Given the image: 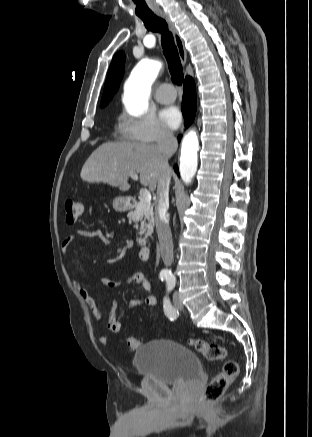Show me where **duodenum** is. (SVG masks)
<instances>
[{"label": "duodenum", "mask_w": 312, "mask_h": 437, "mask_svg": "<svg viewBox=\"0 0 312 437\" xmlns=\"http://www.w3.org/2000/svg\"><path fill=\"white\" fill-rule=\"evenodd\" d=\"M125 201L128 206H132L135 203L134 199L131 197H127ZM151 252H152V248L149 245L140 246L138 250L139 260L143 262L148 261L151 257Z\"/></svg>", "instance_id": "obj_1"}]
</instances>
